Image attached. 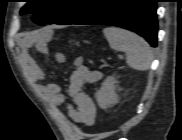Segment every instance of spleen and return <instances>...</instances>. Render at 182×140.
Instances as JSON below:
<instances>
[{
  "mask_svg": "<svg viewBox=\"0 0 182 140\" xmlns=\"http://www.w3.org/2000/svg\"><path fill=\"white\" fill-rule=\"evenodd\" d=\"M103 33L112 49L126 53L127 64L131 68L139 71L150 68L153 51L139 35L117 27L105 28Z\"/></svg>",
  "mask_w": 182,
  "mask_h": 140,
  "instance_id": "obj_1",
  "label": "spleen"
}]
</instances>
